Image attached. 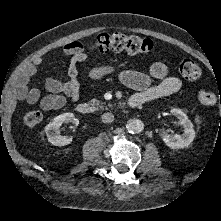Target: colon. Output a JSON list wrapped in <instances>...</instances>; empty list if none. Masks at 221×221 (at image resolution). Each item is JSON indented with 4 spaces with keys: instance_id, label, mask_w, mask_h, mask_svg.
<instances>
[{
    "instance_id": "colon-1",
    "label": "colon",
    "mask_w": 221,
    "mask_h": 221,
    "mask_svg": "<svg viewBox=\"0 0 221 221\" xmlns=\"http://www.w3.org/2000/svg\"><path fill=\"white\" fill-rule=\"evenodd\" d=\"M92 48L100 53L125 51L131 54H147L153 49V43L138 36L112 33L99 35ZM178 70L182 78L189 81L198 79L201 74L198 63L189 58L179 63ZM197 98L203 106H212L217 102V96L209 90L199 91ZM41 120L42 114L37 110H29L22 114V123L28 128L36 127Z\"/></svg>"
}]
</instances>
